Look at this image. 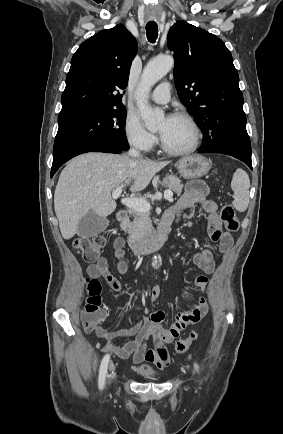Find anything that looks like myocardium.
Segmentation results:
<instances>
[{
  "label": "myocardium",
  "instance_id": "myocardium-1",
  "mask_svg": "<svg viewBox=\"0 0 283 434\" xmlns=\"http://www.w3.org/2000/svg\"><path fill=\"white\" fill-rule=\"evenodd\" d=\"M171 118H180V119L185 120L189 124L191 131H192V142L186 148L173 149V148L169 147L161 138L160 144H161L162 150L164 152H166L167 154H170L173 156H185V155H189V154L195 152L198 149L200 142H201V131H200L199 125L196 122V120L194 119V117L185 111H177L171 115Z\"/></svg>",
  "mask_w": 283,
  "mask_h": 434
}]
</instances>
